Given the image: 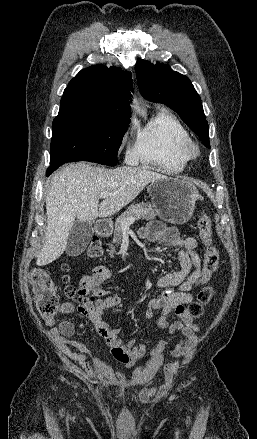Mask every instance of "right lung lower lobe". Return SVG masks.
Listing matches in <instances>:
<instances>
[{
	"label": "right lung lower lobe",
	"instance_id": "1",
	"mask_svg": "<svg viewBox=\"0 0 257 439\" xmlns=\"http://www.w3.org/2000/svg\"><path fill=\"white\" fill-rule=\"evenodd\" d=\"M59 166H50L47 170V176H49L54 170H56Z\"/></svg>",
	"mask_w": 257,
	"mask_h": 439
}]
</instances>
